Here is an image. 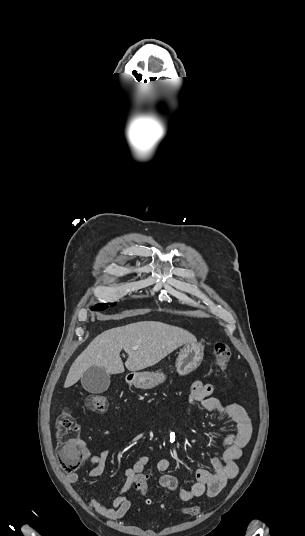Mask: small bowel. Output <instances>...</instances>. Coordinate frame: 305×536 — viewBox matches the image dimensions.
<instances>
[{
  "label": "small bowel",
  "mask_w": 305,
  "mask_h": 536,
  "mask_svg": "<svg viewBox=\"0 0 305 536\" xmlns=\"http://www.w3.org/2000/svg\"><path fill=\"white\" fill-rule=\"evenodd\" d=\"M215 387L210 383L195 381L190 390L189 402L200 403L205 410L214 411L219 416L234 424L235 429L228 434L223 445L224 452L220 458L212 460L213 470L200 469L195 473V483L189 489H182L179 492L181 500H193L201 496H216L227 484L237 476L238 467L236 461L242 456L243 449L247 446L252 435V424L250 417L244 407L237 401L231 399L223 402L212 396ZM82 447V459L79 464V471L91 463L94 467L89 471L88 477L95 479L100 477L107 466L109 450L104 449L97 455H91L80 441ZM150 462L148 456H140L132 467L124 472V485L113 499L111 507L106 506L96 498L91 499L92 507L103 517L110 520H118L131 508L132 502L126 498L125 493L133 489L135 479H138L137 472L145 469ZM171 466L168 458H161L156 463V468L160 472H166ZM79 479V472L68 474L67 480L76 483ZM159 485L168 490H176L178 480L176 477L164 474L159 478Z\"/></svg>",
  "instance_id": "1"
}]
</instances>
